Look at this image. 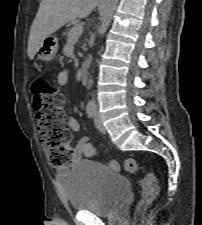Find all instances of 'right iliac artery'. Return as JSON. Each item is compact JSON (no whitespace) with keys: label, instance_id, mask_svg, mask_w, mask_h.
<instances>
[{"label":"right iliac artery","instance_id":"right-iliac-artery-1","mask_svg":"<svg viewBox=\"0 0 202 225\" xmlns=\"http://www.w3.org/2000/svg\"><path fill=\"white\" fill-rule=\"evenodd\" d=\"M86 113L89 118H93L95 114V106L93 102H89L86 107Z\"/></svg>","mask_w":202,"mask_h":225}]
</instances>
